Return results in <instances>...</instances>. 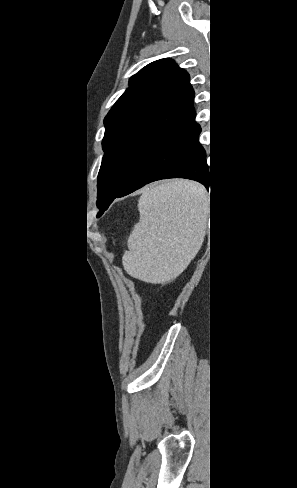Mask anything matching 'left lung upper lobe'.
Wrapping results in <instances>:
<instances>
[{
	"mask_svg": "<svg viewBox=\"0 0 297 488\" xmlns=\"http://www.w3.org/2000/svg\"><path fill=\"white\" fill-rule=\"evenodd\" d=\"M129 85L104 119L105 153L97 185L100 212L196 116L189 75L171 59L148 64L129 79Z\"/></svg>",
	"mask_w": 297,
	"mask_h": 488,
	"instance_id": "obj_1",
	"label": "left lung upper lobe"
}]
</instances>
